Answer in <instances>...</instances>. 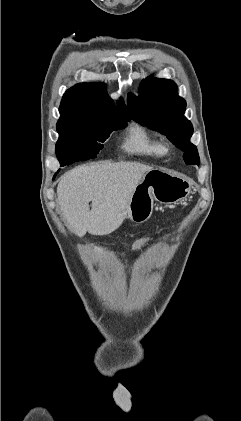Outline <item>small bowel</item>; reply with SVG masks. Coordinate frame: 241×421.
I'll use <instances>...</instances> for the list:
<instances>
[{"label": "small bowel", "instance_id": "small-bowel-1", "mask_svg": "<svg viewBox=\"0 0 241 421\" xmlns=\"http://www.w3.org/2000/svg\"><path fill=\"white\" fill-rule=\"evenodd\" d=\"M150 240V237H142L136 242V248L139 249L141 246Z\"/></svg>", "mask_w": 241, "mask_h": 421}]
</instances>
